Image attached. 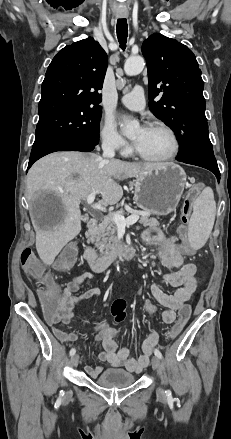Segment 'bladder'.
I'll use <instances>...</instances> for the list:
<instances>
[{"mask_svg": "<svg viewBox=\"0 0 231 439\" xmlns=\"http://www.w3.org/2000/svg\"><path fill=\"white\" fill-rule=\"evenodd\" d=\"M135 381V376L123 369H107L94 380L97 385L105 388L127 387Z\"/></svg>", "mask_w": 231, "mask_h": 439, "instance_id": "obj_1", "label": "bladder"}]
</instances>
